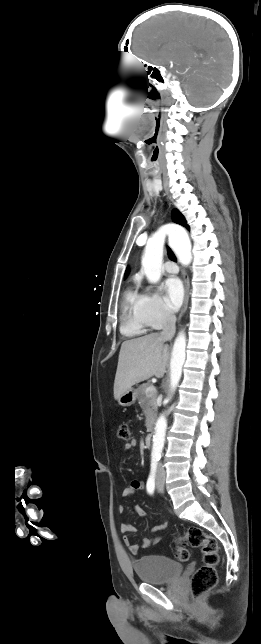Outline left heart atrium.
<instances>
[{
    "instance_id": "39dd6f15",
    "label": "left heart atrium",
    "mask_w": 261,
    "mask_h": 644,
    "mask_svg": "<svg viewBox=\"0 0 261 644\" xmlns=\"http://www.w3.org/2000/svg\"><path fill=\"white\" fill-rule=\"evenodd\" d=\"M184 289L182 282L177 277L169 278L165 283V303L167 308L174 312L183 302Z\"/></svg>"
}]
</instances>
